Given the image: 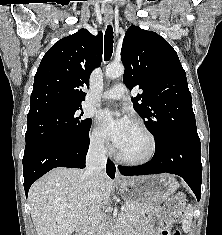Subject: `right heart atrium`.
<instances>
[{"mask_svg":"<svg viewBox=\"0 0 222 235\" xmlns=\"http://www.w3.org/2000/svg\"><path fill=\"white\" fill-rule=\"evenodd\" d=\"M90 144L91 147L97 152L104 153L110 149L108 138L98 125H94L91 130Z\"/></svg>","mask_w":222,"mask_h":235,"instance_id":"right-heart-atrium-1","label":"right heart atrium"}]
</instances>
